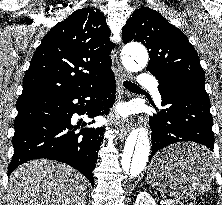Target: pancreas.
I'll use <instances>...</instances> for the list:
<instances>
[{
  "label": "pancreas",
  "mask_w": 222,
  "mask_h": 205,
  "mask_svg": "<svg viewBox=\"0 0 222 205\" xmlns=\"http://www.w3.org/2000/svg\"><path fill=\"white\" fill-rule=\"evenodd\" d=\"M167 205H176L174 202H168Z\"/></svg>",
  "instance_id": "obj_1"
}]
</instances>
